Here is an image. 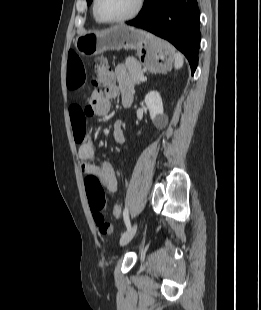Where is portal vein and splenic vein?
Masks as SVG:
<instances>
[{
    "instance_id": "18ae733b",
    "label": "portal vein and splenic vein",
    "mask_w": 261,
    "mask_h": 310,
    "mask_svg": "<svg viewBox=\"0 0 261 310\" xmlns=\"http://www.w3.org/2000/svg\"><path fill=\"white\" fill-rule=\"evenodd\" d=\"M146 80H147L146 76L143 75L140 77V81H146Z\"/></svg>"
}]
</instances>
